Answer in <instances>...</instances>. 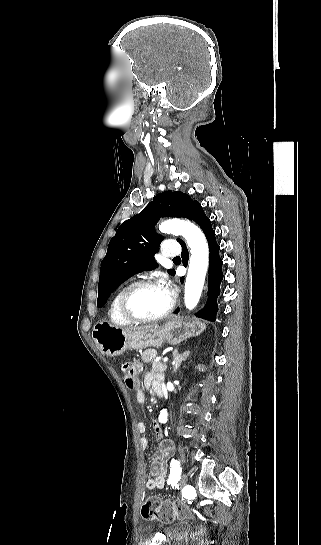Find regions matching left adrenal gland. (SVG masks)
I'll return each instance as SVG.
<instances>
[{
	"label": "left adrenal gland",
	"instance_id": "1",
	"mask_svg": "<svg viewBox=\"0 0 321 545\" xmlns=\"http://www.w3.org/2000/svg\"><path fill=\"white\" fill-rule=\"evenodd\" d=\"M173 355H174L173 373H175L178 367H180L182 361H186L187 357H189L190 351H186V353H183V355H179L178 351H174Z\"/></svg>",
	"mask_w": 321,
	"mask_h": 545
}]
</instances>
